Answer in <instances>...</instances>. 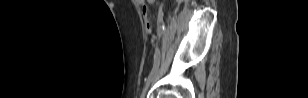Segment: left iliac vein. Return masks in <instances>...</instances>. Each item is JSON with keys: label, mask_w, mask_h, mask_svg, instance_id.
Listing matches in <instances>:
<instances>
[{"label": "left iliac vein", "mask_w": 308, "mask_h": 98, "mask_svg": "<svg viewBox=\"0 0 308 98\" xmlns=\"http://www.w3.org/2000/svg\"><path fill=\"white\" fill-rule=\"evenodd\" d=\"M154 77H155V74H154V75H152V76L150 77V79L148 80V82H147V84H146V87H145V89H144V92H143L142 98H145V93H146V91H147V89H148V87H149L150 83L153 81Z\"/></svg>", "instance_id": "4c4485c4"}]
</instances>
